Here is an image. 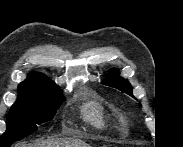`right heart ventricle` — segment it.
Returning a JSON list of instances; mask_svg holds the SVG:
<instances>
[{"instance_id":"obj_1","label":"right heart ventricle","mask_w":183,"mask_h":147,"mask_svg":"<svg viewBox=\"0 0 183 147\" xmlns=\"http://www.w3.org/2000/svg\"><path fill=\"white\" fill-rule=\"evenodd\" d=\"M84 116L87 121L97 127H104L108 121L107 111L97 102H90L84 107Z\"/></svg>"}]
</instances>
